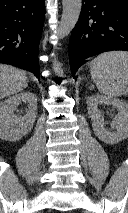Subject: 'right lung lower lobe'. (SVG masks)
Segmentation results:
<instances>
[{
    "label": "right lung lower lobe",
    "mask_w": 128,
    "mask_h": 213,
    "mask_svg": "<svg viewBox=\"0 0 128 213\" xmlns=\"http://www.w3.org/2000/svg\"><path fill=\"white\" fill-rule=\"evenodd\" d=\"M44 0H0V61L39 73Z\"/></svg>",
    "instance_id": "1"
}]
</instances>
